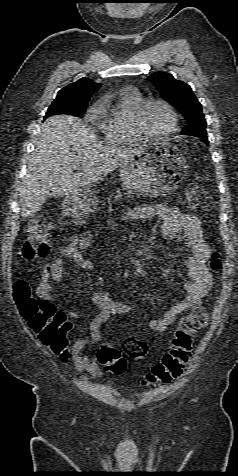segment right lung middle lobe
<instances>
[{
	"label": "right lung middle lobe",
	"mask_w": 238,
	"mask_h": 476,
	"mask_svg": "<svg viewBox=\"0 0 238 476\" xmlns=\"http://www.w3.org/2000/svg\"><path fill=\"white\" fill-rule=\"evenodd\" d=\"M86 108L87 104L74 103L64 97L56 98L48 108L45 118L56 114L79 116L85 112Z\"/></svg>",
	"instance_id": "right-lung-middle-lobe-1"
}]
</instances>
